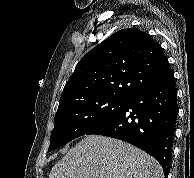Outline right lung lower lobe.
I'll return each mask as SVG.
<instances>
[{"label":"right lung lower lobe","instance_id":"98d812e1","mask_svg":"<svg viewBox=\"0 0 194 178\" xmlns=\"http://www.w3.org/2000/svg\"><path fill=\"white\" fill-rule=\"evenodd\" d=\"M179 112L174 76L134 93L110 117L86 134L126 141L157 159L167 178Z\"/></svg>","mask_w":194,"mask_h":178}]
</instances>
